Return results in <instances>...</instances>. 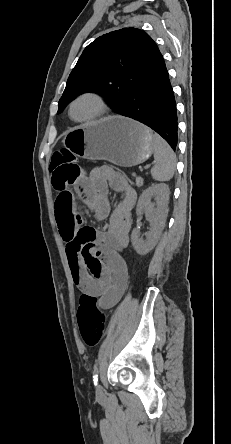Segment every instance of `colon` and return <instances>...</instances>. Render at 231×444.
Returning a JSON list of instances; mask_svg holds the SVG:
<instances>
[{"instance_id":"5ec220e1","label":"colon","mask_w":231,"mask_h":444,"mask_svg":"<svg viewBox=\"0 0 231 444\" xmlns=\"http://www.w3.org/2000/svg\"><path fill=\"white\" fill-rule=\"evenodd\" d=\"M49 171L52 174V182L57 187L72 185L83 174L78 159L66 149L54 152ZM136 183L141 185L142 179L136 177ZM80 231L84 236H94L96 233L93 228L86 226H81ZM106 320V314L96 307V299L83 293L79 299L78 323L82 339L87 346L93 347L101 341Z\"/></svg>"}]
</instances>
